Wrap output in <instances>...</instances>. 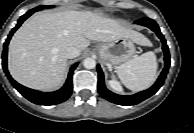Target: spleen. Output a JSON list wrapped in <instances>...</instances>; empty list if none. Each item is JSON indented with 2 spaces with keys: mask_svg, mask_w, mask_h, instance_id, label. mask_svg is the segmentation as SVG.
Returning <instances> with one entry per match:
<instances>
[{
  "mask_svg": "<svg viewBox=\"0 0 194 133\" xmlns=\"http://www.w3.org/2000/svg\"><path fill=\"white\" fill-rule=\"evenodd\" d=\"M117 75L121 82L132 91L149 88L156 79L157 61L153 52H146L117 67Z\"/></svg>",
  "mask_w": 194,
  "mask_h": 133,
  "instance_id": "spleen-1",
  "label": "spleen"
}]
</instances>
